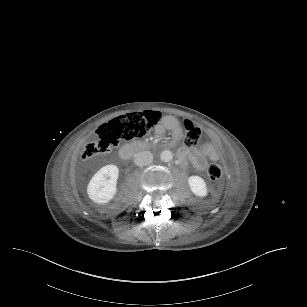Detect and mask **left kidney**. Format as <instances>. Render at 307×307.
<instances>
[{"instance_id":"obj_1","label":"left kidney","mask_w":307,"mask_h":307,"mask_svg":"<svg viewBox=\"0 0 307 307\" xmlns=\"http://www.w3.org/2000/svg\"><path fill=\"white\" fill-rule=\"evenodd\" d=\"M188 184L190 186L191 191L200 197H204L207 195V187L203 178L199 176H190L188 178Z\"/></svg>"}]
</instances>
